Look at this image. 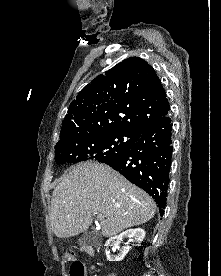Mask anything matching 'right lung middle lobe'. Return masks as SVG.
Here are the masks:
<instances>
[{
	"mask_svg": "<svg viewBox=\"0 0 221 276\" xmlns=\"http://www.w3.org/2000/svg\"><path fill=\"white\" fill-rule=\"evenodd\" d=\"M124 137L130 138L124 142ZM131 144V135L123 132H101L81 139H70L56 144L55 162L78 163L87 160L106 162L123 152Z\"/></svg>",
	"mask_w": 221,
	"mask_h": 276,
	"instance_id": "right-lung-middle-lobe-1",
	"label": "right lung middle lobe"
}]
</instances>
